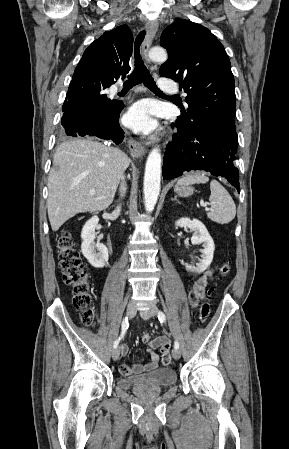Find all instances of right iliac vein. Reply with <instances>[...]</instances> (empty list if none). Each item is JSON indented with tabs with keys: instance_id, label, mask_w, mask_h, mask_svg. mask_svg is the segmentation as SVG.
<instances>
[{
	"instance_id": "63e3f726",
	"label": "right iliac vein",
	"mask_w": 289,
	"mask_h": 449,
	"mask_svg": "<svg viewBox=\"0 0 289 449\" xmlns=\"http://www.w3.org/2000/svg\"><path fill=\"white\" fill-rule=\"evenodd\" d=\"M136 313V308H135V304L133 302H130L127 306V310H126V314L128 315L129 318L134 317ZM120 355V349L119 348H115L112 351V358L114 361L118 360Z\"/></svg>"
}]
</instances>
